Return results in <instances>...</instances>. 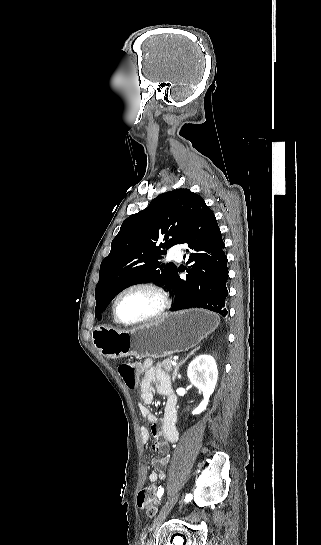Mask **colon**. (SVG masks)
<instances>
[{"instance_id":"colon-1","label":"colon","mask_w":321,"mask_h":545,"mask_svg":"<svg viewBox=\"0 0 321 545\" xmlns=\"http://www.w3.org/2000/svg\"><path fill=\"white\" fill-rule=\"evenodd\" d=\"M118 372L123 378L126 386L134 389L138 384L136 364L130 361L122 362L118 367ZM158 491L153 485L142 488L137 495V505L139 508L152 514L158 504Z\"/></svg>"}]
</instances>
